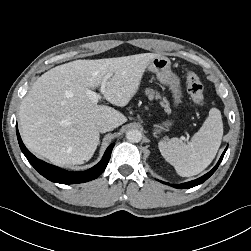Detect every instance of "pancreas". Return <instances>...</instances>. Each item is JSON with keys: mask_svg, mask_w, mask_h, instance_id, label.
<instances>
[{"mask_svg": "<svg viewBox=\"0 0 251 251\" xmlns=\"http://www.w3.org/2000/svg\"><path fill=\"white\" fill-rule=\"evenodd\" d=\"M145 94L148 96L149 99H153V98L160 99L161 98V96L157 92L153 91L152 89H146ZM161 105L163 107H165V110L167 112L170 111L168 101L165 98H162Z\"/></svg>", "mask_w": 251, "mask_h": 251, "instance_id": "pancreas-1", "label": "pancreas"}]
</instances>
